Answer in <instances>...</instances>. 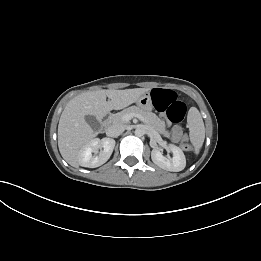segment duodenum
I'll list each match as a JSON object with an SVG mask.
<instances>
[{
    "label": "duodenum",
    "instance_id": "obj_1",
    "mask_svg": "<svg viewBox=\"0 0 261 261\" xmlns=\"http://www.w3.org/2000/svg\"><path fill=\"white\" fill-rule=\"evenodd\" d=\"M106 126H107V121L104 120V121L102 122V128H105Z\"/></svg>",
    "mask_w": 261,
    "mask_h": 261
}]
</instances>
